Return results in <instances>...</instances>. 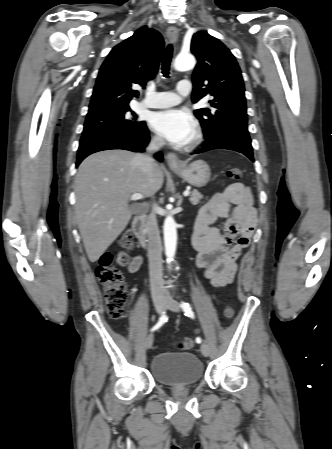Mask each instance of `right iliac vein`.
<instances>
[{"label":"right iliac vein","mask_w":332,"mask_h":449,"mask_svg":"<svg viewBox=\"0 0 332 449\" xmlns=\"http://www.w3.org/2000/svg\"><path fill=\"white\" fill-rule=\"evenodd\" d=\"M154 305H155L156 311L159 314H161L164 311V308H165V301L163 300L162 297H156L154 299ZM152 344H153V334L150 333L145 338V347L147 349H149V348H151Z\"/></svg>","instance_id":"right-iliac-vein-1"}]
</instances>
